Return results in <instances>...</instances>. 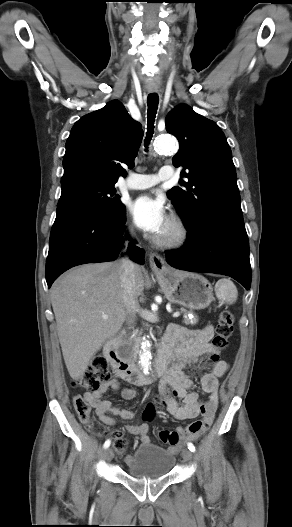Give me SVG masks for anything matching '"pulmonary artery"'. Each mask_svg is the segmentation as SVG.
I'll return each mask as SVG.
<instances>
[{
	"mask_svg": "<svg viewBox=\"0 0 292 527\" xmlns=\"http://www.w3.org/2000/svg\"><path fill=\"white\" fill-rule=\"evenodd\" d=\"M172 177L173 168L171 166H163L157 174L132 173L124 182V187L132 190L147 189Z\"/></svg>",
	"mask_w": 292,
	"mask_h": 527,
	"instance_id": "obj_1",
	"label": "pulmonary artery"
}]
</instances>
